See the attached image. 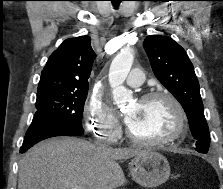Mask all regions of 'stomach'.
<instances>
[{
  "label": "stomach",
  "mask_w": 223,
  "mask_h": 189,
  "mask_svg": "<svg viewBox=\"0 0 223 189\" xmlns=\"http://www.w3.org/2000/svg\"><path fill=\"white\" fill-rule=\"evenodd\" d=\"M130 172L139 185L154 188L163 184L169 178L170 166L163 155L145 150L132 159Z\"/></svg>",
  "instance_id": "stomach-1"
}]
</instances>
